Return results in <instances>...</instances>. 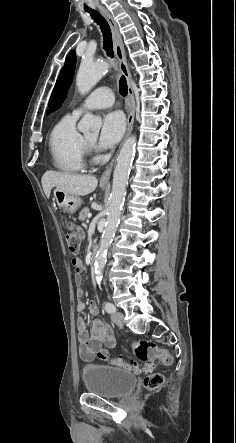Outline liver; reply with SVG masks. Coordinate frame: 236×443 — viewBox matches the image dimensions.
<instances>
[{"instance_id": "obj_1", "label": "liver", "mask_w": 236, "mask_h": 443, "mask_svg": "<svg viewBox=\"0 0 236 443\" xmlns=\"http://www.w3.org/2000/svg\"><path fill=\"white\" fill-rule=\"evenodd\" d=\"M41 183L45 195L49 198L54 187L76 196L88 195L96 189L98 180L91 175L47 171L42 176Z\"/></svg>"}]
</instances>
